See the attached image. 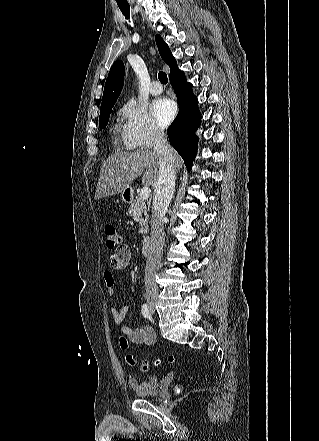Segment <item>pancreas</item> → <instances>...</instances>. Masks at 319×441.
Masks as SVG:
<instances>
[{
    "label": "pancreas",
    "instance_id": "cf45deb5",
    "mask_svg": "<svg viewBox=\"0 0 319 441\" xmlns=\"http://www.w3.org/2000/svg\"><path fill=\"white\" fill-rule=\"evenodd\" d=\"M130 215L140 224V233L146 235L148 232V216L144 219L142 214H146V206L142 198H138L136 202L132 203L128 209Z\"/></svg>",
    "mask_w": 319,
    "mask_h": 441
}]
</instances>
